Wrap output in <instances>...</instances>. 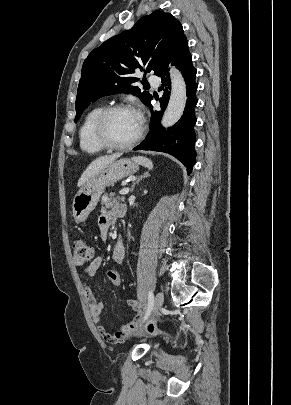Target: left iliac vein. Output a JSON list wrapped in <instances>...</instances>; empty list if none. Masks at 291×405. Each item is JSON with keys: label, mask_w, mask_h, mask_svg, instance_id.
Instances as JSON below:
<instances>
[{"label": "left iliac vein", "mask_w": 291, "mask_h": 405, "mask_svg": "<svg viewBox=\"0 0 291 405\" xmlns=\"http://www.w3.org/2000/svg\"><path fill=\"white\" fill-rule=\"evenodd\" d=\"M163 302H164V295L162 292H158L154 300L153 316L158 314L160 308L163 305Z\"/></svg>", "instance_id": "obj_1"}]
</instances>
